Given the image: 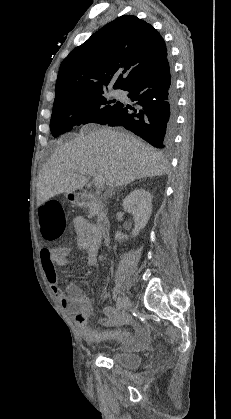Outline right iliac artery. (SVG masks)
<instances>
[{"instance_id": "obj_1", "label": "right iliac artery", "mask_w": 231, "mask_h": 419, "mask_svg": "<svg viewBox=\"0 0 231 419\" xmlns=\"http://www.w3.org/2000/svg\"><path fill=\"white\" fill-rule=\"evenodd\" d=\"M117 309H121L122 308V301L120 298L117 299V304H116Z\"/></svg>"}]
</instances>
